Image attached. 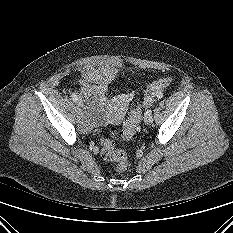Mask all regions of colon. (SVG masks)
Segmentation results:
<instances>
[{"instance_id":"colon-1","label":"colon","mask_w":233,"mask_h":233,"mask_svg":"<svg viewBox=\"0 0 233 233\" xmlns=\"http://www.w3.org/2000/svg\"><path fill=\"white\" fill-rule=\"evenodd\" d=\"M172 82L171 77H165L153 82L139 97L137 103L133 104L126 119L122 130L115 135L121 140H130L134 137L139 123L141 121L142 105L151 103L154 99L159 97L161 91L166 89ZM101 155L107 160L115 163V171L118 173L124 172L128 167V157L122 150L115 149L114 143L111 139H101Z\"/></svg>"}]
</instances>
